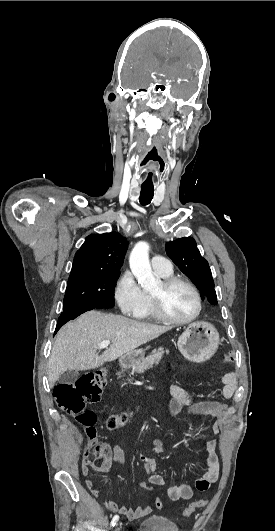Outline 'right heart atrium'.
Returning a JSON list of instances; mask_svg holds the SVG:
<instances>
[{
  "label": "right heart atrium",
  "mask_w": 275,
  "mask_h": 531,
  "mask_svg": "<svg viewBox=\"0 0 275 531\" xmlns=\"http://www.w3.org/2000/svg\"><path fill=\"white\" fill-rule=\"evenodd\" d=\"M115 298L122 313L129 317H138L148 305V294L141 289L130 271L119 278Z\"/></svg>",
  "instance_id": "1"
}]
</instances>
